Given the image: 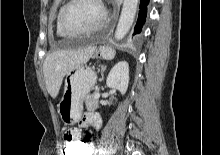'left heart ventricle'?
Instances as JSON below:
<instances>
[{
  "mask_svg": "<svg viewBox=\"0 0 220 155\" xmlns=\"http://www.w3.org/2000/svg\"><path fill=\"white\" fill-rule=\"evenodd\" d=\"M104 16L98 0H78L66 11L64 20L73 29H85L97 25Z\"/></svg>",
  "mask_w": 220,
  "mask_h": 155,
  "instance_id": "left-heart-ventricle-1",
  "label": "left heart ventricle"
}]
</instances>
